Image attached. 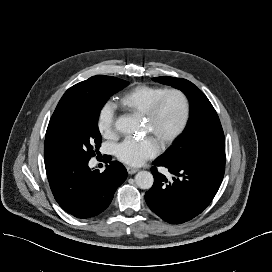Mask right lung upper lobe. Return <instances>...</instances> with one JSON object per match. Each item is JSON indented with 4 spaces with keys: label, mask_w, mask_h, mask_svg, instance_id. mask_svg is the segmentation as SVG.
Masks as SVG:
<instances>
[{
    "label": "right lung upper lobe",
    "mask_w": 272,
    "mask_h": 272,
    "mask_svg": "<svg viewBox=\"0 0 272 272\" xmlns=\"http://www.w3.org/2000/svg\"><path fill=\"white\" fill-rule=\"evenodd\" d=\"M102 76L103 75L93 76L69 88L60 99L55 109V112L53 114L57 113L58 111H60L61 109L65 108L66 106L70 104L78 102L83 97L87 96L93 90V88L97 85L98 81L101 79ZM47 161H51V160L45 159V162Z\"/></svg>",
    "instance_id": "obj_1"
}]
</instances>
